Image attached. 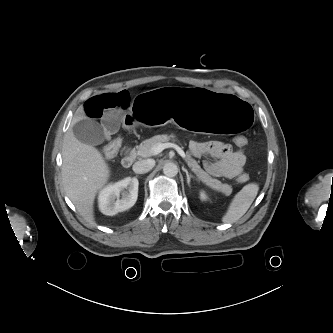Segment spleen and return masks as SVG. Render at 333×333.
<instances>
[{"label": "spleen", "instance_id": "1", "mask_svg": "<svg viewBox=\"0 0 333 333\" xmlns=\"http://www.w3.org/2000/svg\"><path fill=\"white\" fill-rule=\"evenodd\" d=\"M259 191L256 183L245 185L232 199L226 214L222 217L224 223H234L249 209Z\"/></svg>", "mask_w": 333, "mask_h": 333}]
</instances>
